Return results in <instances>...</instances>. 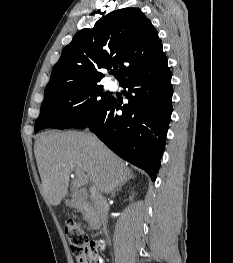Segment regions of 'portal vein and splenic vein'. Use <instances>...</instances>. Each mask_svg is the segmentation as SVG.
<instances>
[{"instance_id": "18ae733b", "label": "portal vein and splenic vein", "mask_w": 233, "mask_h": 263, "mask_svg": "<svg viewBox=\"0 0 233 263\" xmlns=\"http://www.w3.org/2000/svg\"><path fill=\"white\" fill-rule=\"evenodd\" d=\"M77 174V183L78 185H86L89 182L88 176L85 174V172L76 171Z\"/></svg>"}]
</instances>
